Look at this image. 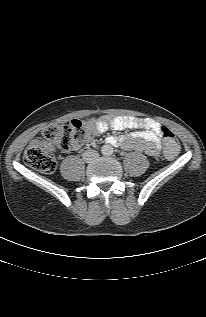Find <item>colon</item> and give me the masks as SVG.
<instances>
[{
	"label": "colon",
	"instance_id": "1",
	"mask_svg": "<svg viewBox=\"0 0 206 317\" xmlns=\"http://www.w3.org/2000/svg\"><path fill=\"white\" fill-rule=\"evenodd\" d=\"M165 154L169 158L179 152V141L176 135L166 127L162 129ZM93 133V128L79 120L59 123L46 128L41 137L33 140L24 152L25 163L42 173H52L56 168V161L51 153V147L68 151L75 145L86 141Z\"/></svg>",
	"mask_w": 206,
	"mask_h": 317
}]
</instances>
